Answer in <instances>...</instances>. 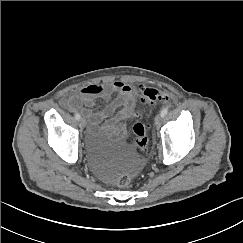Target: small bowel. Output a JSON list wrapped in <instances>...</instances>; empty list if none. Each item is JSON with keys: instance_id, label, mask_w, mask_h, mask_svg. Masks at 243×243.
I'll use <instances>...</instances> for the list:
<instances>
[{"instance_id": "obj_1", "label": "small bowel", "mask_w": 243, "mask_h": 243, "mask_svg": "<svg viewBox=\"0 0 243 243\" xmlns=\"http://www.w3.org/2000/svg\"><path fill=\"white\" fill-rule=\"evenodd\" d=\"M96 99L108 102L101 112L85 109L94 105ZM65 105L72 110H82L86 118L95 125L103 119L106 124L118 129L120 135H126V121L132 118L133 108L137 105L135 88L123 81H111L105 84H88L69 95Z\"/></svg>"}]
</instances>
